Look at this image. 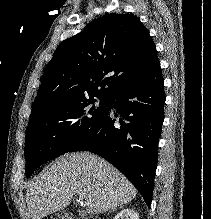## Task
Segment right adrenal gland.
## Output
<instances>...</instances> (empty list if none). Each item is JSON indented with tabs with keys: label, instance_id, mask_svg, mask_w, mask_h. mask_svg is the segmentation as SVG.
I'll list each match as a JSON object with an SVG mask.
<instances>
[{
	"label": "right adrenal gland",
	"instance_id": "2a0ac1e0",
	"mask_svg": "<svg viewBox=\"0 0 211 219\" xmlns=\"http://www.w3.org/2000/svg\"><path fill=\"white\" fill-rule=\"evenodd\" d=\"M115 210H116V208H115V209H112L111 211H109V213L112 212V211H115Z\"/></svg>",
	"mask_w": 211,
	"mask_h": 219
}]
</instances>
